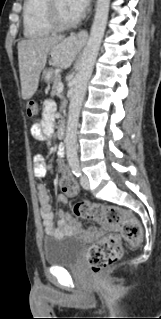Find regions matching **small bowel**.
I'll return each mask as SVG.
<instances>
[{"label":"small bowel","instance_id":"c3829d8e","mask_svg":"<svg viewBox=\"0 0 161 319\" xmlns=\"http://www.w3.org/2000/svg\"><path fill=\"white\" fill-rule=\"evenodd\" d=\"M56 104L53 100H47L44 103L43 118L41 123L35 124L31 128V136L33 139L40 142H48L54 132L55 118H56ZM51 169V166L46 167L44 159L41 156L34 157V175L41 177ZM60 171L63 177H67L74 184V187L69 190H65V194H57L56 199L62 203L67 201V196H74L78 192V186L75 179L68 172L66 165L60 166ZM38 204L39 211L42 218L43 226L47 234L61 235L71 231H81V225L75 221L69 213L59 211L54 213L50 204V197L47 188L39 184L38 185ZM58 217V226L55 225V218ZM105 229V225L101 224V229L98 231H89L90 237H98Z\"/></svg>","mask_w":161,"mask_h":319}]
</instances>
